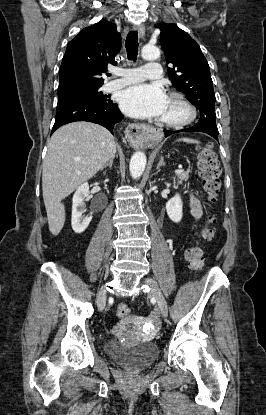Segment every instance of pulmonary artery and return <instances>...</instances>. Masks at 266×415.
Instances as JSON below:
<instances>
[{
  "instance_id": "1",
  "label": "pulmonary artery",
  "mask_w": 266,
  "mask_h": 415,
  "mask_svg": "<svg viewBox=\"0 0 266 415\" xmlns=\"http://www.w3.org/2000/svg\"><path fill=\"white\" fill-rule=\"evenodd\" d=\"M161 73V65L157 62H150L139 68L119 69L115 71V75L120 78L108 82L106 88L108 91H114L146 78L159 79Z\"/></svg>"
}]
</instances>
